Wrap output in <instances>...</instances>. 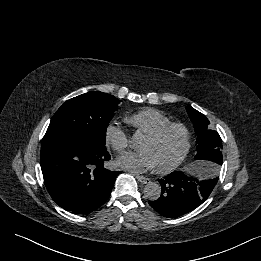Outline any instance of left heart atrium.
<instances>
[{"label":"left heart atrium","instance_id":"1","mask_svg":"<svg viewBox=\"0 0 261 261\" xmlns=\"http://www.w3.org/2000/svg\"><path fill=\"white\" fill-rule=\"evenodd\" d=\"M117 164L134 173H142L157 167L154 157L148 151L126 153L117 159Z\"/></svg>","mask_w":261,"mask_h":261}]
</instances>
